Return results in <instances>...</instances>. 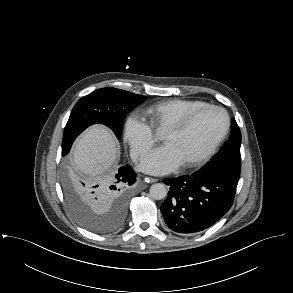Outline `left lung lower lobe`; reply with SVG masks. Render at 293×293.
Returning a JSON list of instances; mask_svg holds the SVG:
<instances>
[{
    "mask_svg": "<svg viewBox=\"0 0 293 293\" xmlns=\"http://www.w3.org/2000/svg\"><path fill=\"white\" fill-rule=\"evenodd\" d=\"M239 178L216 169L165 179L170 191L161 205L165 223L173 231L193 234L212 226L231 208Z\"/></svg>",
    "mask_w": 293,
    "mask_h": 293,
    "instance_id": "left-lung-lower-lobe-1",
    "label": "left lung lower lobe"
}]
</instances>
